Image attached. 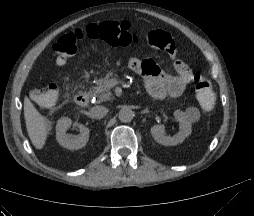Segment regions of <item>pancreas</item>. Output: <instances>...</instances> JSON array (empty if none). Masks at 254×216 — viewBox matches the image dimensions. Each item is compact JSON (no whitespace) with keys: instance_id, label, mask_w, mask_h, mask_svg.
Returning a JSON list of instances; mask_svg holds the SVG:
<instances>
[{"instance_id":"1","label":"pancreas","mask_w":254,"mask_h":216,"mask_svg":"<svg viewBox=\"0 0 254 216\" xmlns=\"http://www.w3.org/2000/svg\"><path fill=\"white\" fill-rule=\"evenodd\" d=\"M111 75V74H110ZM101 78L97 81V86L92 87L93 96L97 98V103H101L105 100H109L111 97L109 77Z\"/></svg>"}]
</instances>
